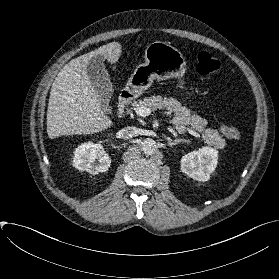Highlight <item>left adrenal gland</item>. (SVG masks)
Returning <instances> with one entry per match:
<instances>
[{
    "label": "left adrenal gland",
    "mask_w": 279,
    "mask_h": 279,
    "mask_svg": "<svg viewBox=\"0 0 279 279\" xmlns=\"http://www.w3.org/2000/svg\"><path fill=\"white\" fill-rule=\"evenodd\" d=\"M178 143H188V141L186 139H179V138H176L175 140H169L168 141V145L170 147L178 144Z\"/></svg>",
    "instance_id": "obj_1"
}]
</instances>
